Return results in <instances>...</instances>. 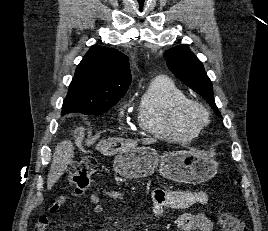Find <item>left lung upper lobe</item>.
Here are the masks:
<instances>
[{"mask_svg":"<svg viewBox=\"0 0 268 231\" xmlns=\"http://www.w3.org/2000/svg\"><path fill=\"white\" fill-rule=\"evenodd\" d=\"M164 58L172 73L198 94L207 98L215 114L221 117L214 102L212 82L205 73L201 61L187 45H179L164 52Z\"/></svg>","mask_w":268,"mask_h":231,"instance_id":"obj_1","label":"left lung upper lobe"}]
</instances>
